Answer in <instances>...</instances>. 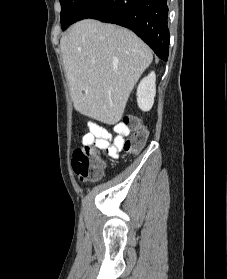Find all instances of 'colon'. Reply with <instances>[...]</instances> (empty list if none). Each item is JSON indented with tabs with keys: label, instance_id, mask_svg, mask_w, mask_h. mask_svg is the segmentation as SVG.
I'll return each instance as SVG.
<instances>
[{
	"label": "colon",
	"instance_id": "obj_1",
	"mask_svg": "<svg viewBox=\"0 0 227 279\" xmlns=\"http://www.w3.org/2000/svg\"><path fill=\"white\" fill-rule=\"evenodd\" d=\"M125 126H130L132 134L124 143V150L128 154L139 153L146 144L148 131L140 125L134 117H124ZM93 138L86 134L82 143L74 151L72 165L75 173L81 180H94L98 178L104 166V162L99 153L91 148Z\"/></svg>",
	"mask_w": 227,
	"mask_h": 279
}]
</instances>
